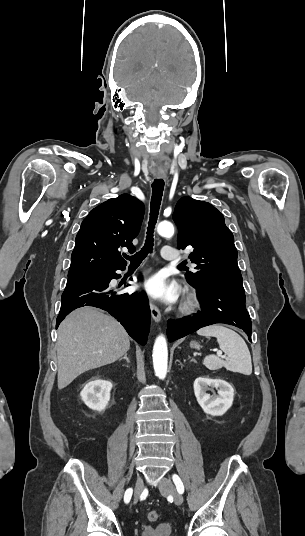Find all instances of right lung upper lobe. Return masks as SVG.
I'll return each instance as SVG.
<instances>
[{"label": "right lung upper lobe", "instance_id": "1", "mask_svg": "<svg viewBox=\"0 0 305 536\" xmlns=\"http://www.w3.org/2000/svg\"><path fill=\"white\" fill-rule=\"evenodd\" d=\"M144 205L122 194L90 211L76 236L68 279L125 268L119 249L135 251L132 240L138 235Z\"/></svg>", "mask_w": 305, "mask_h": 536}]
</instances>
